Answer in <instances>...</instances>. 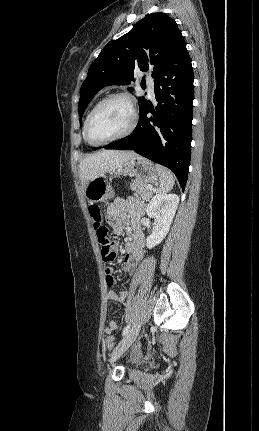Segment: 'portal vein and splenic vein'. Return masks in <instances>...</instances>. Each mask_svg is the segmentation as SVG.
Returning a JSON list of instances; mask_svg holds the SVG:
<instances>
[{"label": "portal vein and splenic vein", "instance_id": "18ae733b", "mask_svg": "<svg viewBox=\"0 0 259 431\" xmlns=\"http://www.w3.org/2000/svg\"><path fill=\"white\" fill-rule=\"evenodd\" d=\"M148 189H149L150 191H152V190H153L152 186H150V185H148Z\"/></svg>", "mask_w": 259, "mask_h": 431}]
</instances>
